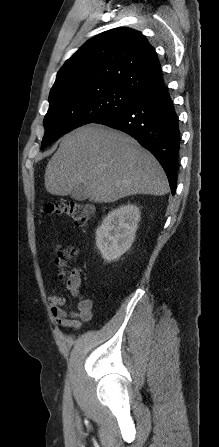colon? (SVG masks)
I'll list each match as a JSON object with an SVG mask.
<instances>
[{
	"mask_svg": "<svg viewBox=\"0 0 219 447\" xmlns=\"http://www.w3.org/2000/svg\"><path fill=\"white\" fill-rule=\"evenodd\" d=\"M44 210L50 215H66L77 227H84L92 217V208L84 203L74 200H60L45 205ZM77 255V249L69 247L58 253L56 263L61 267L60 275L67 281L76 282L78 273L75 270L65 269V260Z\"/></svg>",
	"mask_w": 219,
	"mask_h": 447,
	"instance_id": "1",
	"label": "colon"
}]
</instances>
